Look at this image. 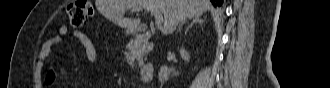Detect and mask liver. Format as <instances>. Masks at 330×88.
I'll return each mask as SVG.
<instances>
[{
  "mask_svg": "<svg viewBox=\"0 0 330 88\" xmlns=\"http://www.w3.org/2000/svg\"><path fill=\"white\" fill-rule=\"evenodd\" d=\"M99 12L108 20L126 29V33H134L140 19L125 18L128 9H157L164 16L160 30L168 35L175 31L183 18L200 16L212 5L209 0H96Z\"/></svg>",
  "mask_w": 330,
  "mask_h": 88,
  "instance_id": "1",
  "label": "liver"
}]
</instances>
